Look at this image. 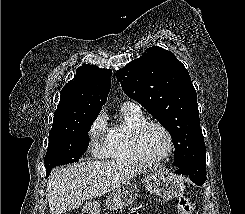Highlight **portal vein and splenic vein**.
<instances>
[{"label":"portal vein and splenic vein","instance_id":"18ae733b","mask_svg":"<svg viewBox=\"0 0 245 214\" xmlns=\"http://www.w3.org/2000/svg\"><path fill=\"white\" fill-rule=\"evenodd\" d=\"M86 185H87V184L85 183V184H82L81 186H82V187H85Z\"/></svg>","mask_w":245,"mask_h":214}]
</instances>
